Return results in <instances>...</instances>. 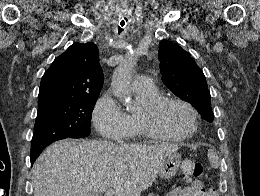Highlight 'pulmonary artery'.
Segmentation results:
<instances>
[{
  "instance_id": "e3ab8cb5",
  "label": "pulmonary artery",
  "mask_w": 260,
  "mask_h": 196,
  "mask_svg": "<svg viewBox=\"0 0 260 196\" xmlns=\"http://www.w3.org/2000/svg\"><path fill=\"white\" fill-rule=\"evenodd\" d=\"M149 83H150L149 79H136L135 82L132 83V86L135 89L143 90L149 88L150 86H143L140 84H149Z\"/></svg>"
}]
</instances>
